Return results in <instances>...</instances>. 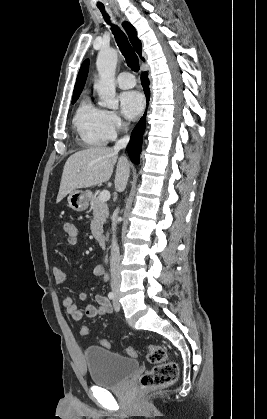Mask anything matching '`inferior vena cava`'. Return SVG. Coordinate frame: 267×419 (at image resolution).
Returning <instances> with one entry per match:
<instances>
[{"label": "inferior vena cava", "instance_id": "602c4592", "mask_svg": "<svg viewBox=\"0 0 267 419\" xmlns=\"http://www.w3.org/2000/svg\"><path fill=\"white\" fill-rule=\"evenodd\" d=\"M127 131V127H125ZM129 142V136H125L121 140L117 141L114 146V150L119 151L127 146ZM116 224L117 221L114 220L112 223V230H113V237H112V244H111V256H110V272H111V288L113 291L118 290L120 287V252L119 247L116 240Z\"/></svg>", "mask_w": 267, "mask_h": 419}]
</instances>
